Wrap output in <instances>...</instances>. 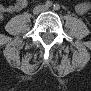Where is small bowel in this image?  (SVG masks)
<instances>
[{
    "label": "small bowel",
    "mask_w": 91,
    "mask_h": 91,
    "mask_svg": "<svg viewBox=\"0 0 91 91\" xmlns=\"http://www.w3.org/2000/svg\"><path fill=\"white\" fill-rule=\"evenodd\" d=\"M27 6V1L26 0H17L13 4L5 7V12L7 13H13L20 11L24 9ZM89 10V3L88 2H82L77 5L76 11L79 14H85Z\"/></svg>",
    "instance_id": "c3829d8e"
}]
</instances>
